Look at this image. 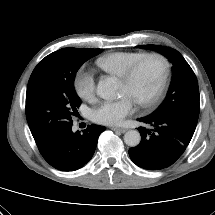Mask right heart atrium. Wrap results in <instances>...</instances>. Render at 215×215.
<instances>
[{"label": "right heart atrium", "mask_w": 215, "mask_h": 215, "mask_svg": "<svg viewBox=\"0 0 215 215\" xmlns=\"http://www.w3.org/2000/svg\"><path fill=\"white\" fill-rule=\"evenodd\" d=\"M74 87L78 96L90 101L95 95V80L89 71H79L74 80Z\"/></svg>", "instance_id": "obj_1"}]
</instances>
